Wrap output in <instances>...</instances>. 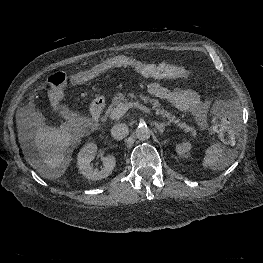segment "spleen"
I'll return each mask as SVG.
<instances>
[{
  "mask_svg": "<svg viewBox=\"0 0 263 263\" xmlns=\"http://www.w3.org/2000/svg\"><path fill=\"white\" fill-rule=\"evenodd\" d=\"M232 151L223 147L219 142L213 143L205 152L202 166L223 170L233 162Z\"/></svg>",
  "mask_w": 263,
  "mask_h": 263,
  "instance_id": "spleen-1",
  "label": "spleen"
}]
</instances>
